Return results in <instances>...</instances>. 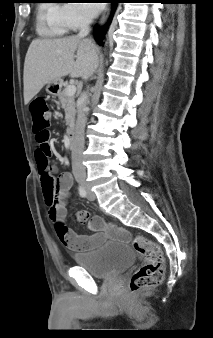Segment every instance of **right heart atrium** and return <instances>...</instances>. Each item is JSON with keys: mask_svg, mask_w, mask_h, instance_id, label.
<instances>
[{"mask_svg": "<svg viewBox=\"0 0 213 338\" xmlns=\"http://www.w3.org/2000/svg\"><path fill=\"white\" fill-rule=\"evenodd\" d=\"M61 19L68 29H78L89 23V18L76 3H65L61 6Z\"/></svg>", "mask_w": 213, "mask_h": 338, "instance_id": "obj_1", "label": "right heart atrium"}]
</instances>
